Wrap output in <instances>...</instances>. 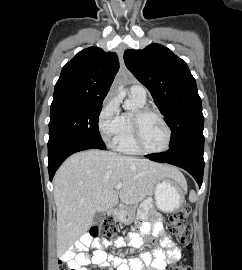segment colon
Masks as SVG:
<instances>
[{
	"label": "colon",
	"instance_id": "5ec220e1",
	"mask_svg": "<svg viewBox=\"0 0 242 270\" xmlns=\"http://www.w3.org/2000/svg\"><path fill=\"white\" fill-rule=\"evenodd\" d=\"M190 214V207L181 206L170 217L169 234L187 249L191 248L192 229L187 222ZM117 233V226L111 218L104 219L98 226L92 228L88 236L92 239H113ZM60 270L67 268L60 263ZM170 270H192L189 264L177 263L172 265Z\"/></svg>",
	"mask_w": 242,
	"mask_h": 270
}]
</instances>
